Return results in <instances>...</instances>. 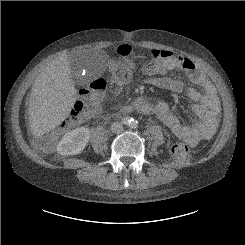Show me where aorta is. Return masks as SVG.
Returning a JSON list of instances; mask_svg holds the SVG:
<instances>
[{
	"label": "aorta",
	"mask_w": 245,
	"mask_h": 245,
	"mask_svg": "<svg viewBox=\"0 0 245 245\" xmlns=\"http://www.w3.org/2000/svg\"><path fill=\"white\" fill-rule=\"evenodd\" d=\"M127 125L131 128H135L137 126V122L134 119H131L127 122Z\"/></svg>",
	"instance_id": "1"
}]
</instances>
